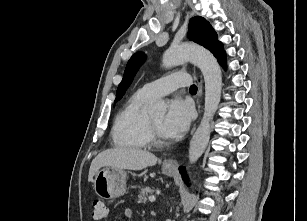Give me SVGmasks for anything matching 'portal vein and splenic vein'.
Wrapping results in <instances>:
<instances>
[{
    "instance_id": "18ae733b",
    "label": "portal vein and splenic vein",
    "mask_w": 307,
    "mask_h": 221,
    "mask_svg": "<svg viewBox=\"0 0 307 221\" xmlns=\"http://www.w3.org/2000/svg\"><path fill=\"white\" fill-rule=\"evenodd\" d=\"M155 200H156V198H155L154 196H150V197H149V201H150V202H154Z\"/></svg>"
}]
</instances>
